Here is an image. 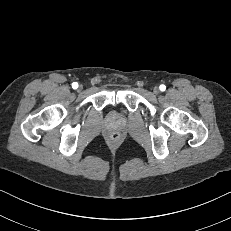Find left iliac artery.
Returning a JSON list of instances; mask_svg holds the SVG:
<instances>
[{
  "label": "left iliac artery",
  "mask_w": 231,
  "mask_h": 231,
  "mask_svg": "<svg viewBox=\"0 0 231 231\" xmlns=\"http://www.w3.org/2000/svg\"><path fill=\"white\" fill-rule=\"evenodd\" d=\"M159 88H160V90H161V91H165L166 86L162 84V85H160V87H159Z\"/></svg>",
  "instance_id": "44dca946"
}]
</instances>
